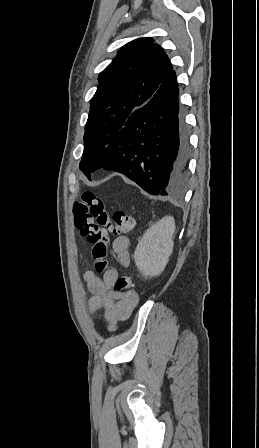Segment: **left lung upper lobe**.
<instances>
[{
    "label": "left lung upper lobe",
    "mask_w": 259,
    "mask_h": 448,
    "mask_svg": "<svg viewBox=\"0 0 259 448\" xmlns=\"http://www.w3.org/2000/svg\"><path fill=\"white\" fill-rule=\"evenodd\" d=\"M173 66L152 38H138L124 45L99 75L85 126L84 153L79 168L89 173L90 163L123 128L133 110L154 95Z\"/></svg>",
    "instance_id": "1"
}]
</instances>
